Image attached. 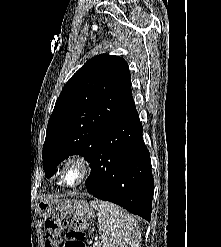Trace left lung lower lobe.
Listing matches in <instances>:
<instances>
[{
  "label": "left lung lower lobe",
  "instance_id": "0a47b994",
  "mask_svg": "<svg viewBox=\"0 0 221 247\" xmlns=\"http://www.w3.org/2000/svg\"><path fill=\"white\" fill-rule=\"evenodd\" d=\"M142 131L137 111L113 122L90 161L85 185L96 198L150 221L154 180Z\"/></svg>",
  "mask_w": 221,
  "mask_h": 247
}]
</instances>
